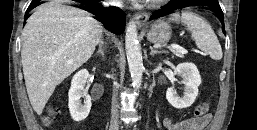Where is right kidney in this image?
<instances>
[{
    "instance_id": "obj_1",
    "label": "right kidney",
    "mask_w": 257,
    "mask_h": 130,
    "mask_svg": "<svg viewBox=\"0 0 257 130\" xmlns=\"http://www.w3.org/2000/svg\"><path fill=\"white\" fill-rule=\"evenodd\" d=\"M89 73L86 69H82L77 72L71 82L68 97V108L72 119L76 122H80L87 118L91 110V98L84 89L85 83ZM84 98V103H81V98Z\"/></svg>"
}]
</instances>
